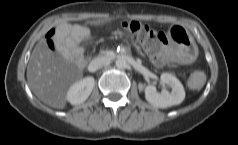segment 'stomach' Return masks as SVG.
<instances>
[{
	"mask_svg": "<svg viewBox=\"0 0 238 145\" xmlns=\"http://www.w3.org/2000/svg\"><path fill=\"white\" fill-rule=\"evenodd\" d=\"M166 35L168 40L175 44L178 53L182 57L191 58L198 53V42L195 40L194 35L187 31L183 25H172L168 28Z\"/></svg>",
	"mask_w": 238,
	"mask_h": 145,
	"instance_id": "0dacf381",
	"label": "stomach"
}]
</instances>
